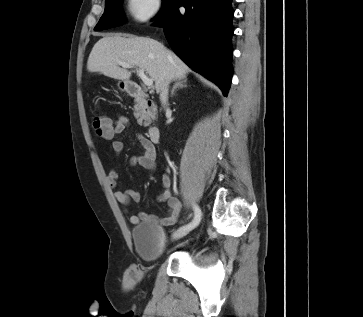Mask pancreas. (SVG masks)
<instances>
[{"mask_svg":"<svg viewBox=\"0 0 363 317\" xmlns=\"http://www.w3.org/2000/svg\"><path fill=\"white\" fill-rule=\"evenodd\" d=\"M134 116L139 124L144 120V126H149L152 120L155 119V113L146 111L145 103H136L134 106Z\"/></svg>","mask_w":363,"mask_h":317,"instance_id":"cf45deb5","label":"pancreas"}]
</instances>
